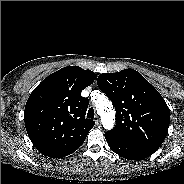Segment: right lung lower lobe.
Instances as JSON below:
<instances>
[{
  "instance_id": "obj_1",
  "label": "right lung lower lobe",
  "mask_w": 184,
  "mask_h": 184,
  "mask_svg": "<svg viewBox=\"0 0 184 184\" xmlns=\"http://www.w3.org/2000/svg\"><path fill=\"white\" fill-rule=\"evenodd\" d=\"M74 151H76V150H74ZM74 151L57 154V155L52 156V158H61V157H64V156H67V155L73 153Z\"/></svg>"
}]
</instances>
